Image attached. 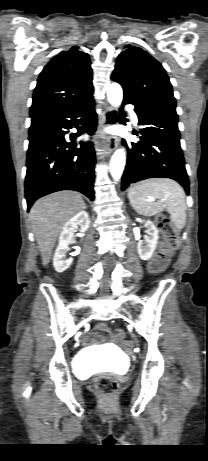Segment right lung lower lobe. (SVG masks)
I'll list each match as a JSON object with an SVG mask.
<instances>
[{
	"instance_id": "98d812e1",
	"label": "right lung lower lobe",
	"mask_w": 208,
	"mask_h": 461,
	"mask_svg": "<svg viewBox=\"0 0 208 461\" xmlns=\"http://www.w3.org/2000/svg\"><path fill=\"white\" fill-rule=\"evenodd\" d=\"M97 118L94 100L79 108L31 124L27 151L25 197L28 210L40 197L60 190H75L94 199L95 152L88 142L77 147L81 134L93 135ZM77 128L65 140L66 130Z\"/></svg>"
}]
</instances>
